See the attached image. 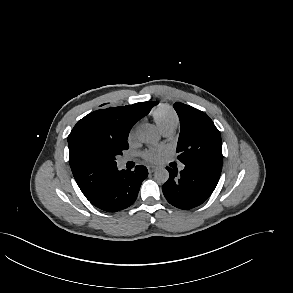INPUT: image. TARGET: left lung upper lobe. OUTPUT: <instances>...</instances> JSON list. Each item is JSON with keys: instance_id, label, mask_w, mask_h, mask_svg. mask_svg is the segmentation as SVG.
<instances>
[{"instance_id": "1", "label": "left lung upper lobe", "mask_w": 293, "mask_h": 293, "mask_svg": "<svg viewBox=\"0 0 293 293\" xmlns=\"http://www.w3.org/2000/svg\"><path fill=\"white\" fill-rule=\"evenodd\" d=\"M181 125L177 150L182 163H208L222 169V141L213 121L202 111L174 104Z\"/></svg>"}]
</instances>
